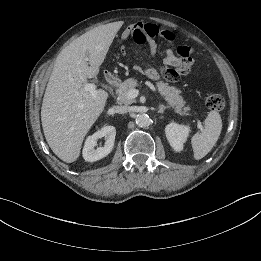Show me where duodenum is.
I'll list each match as a JSON object with an SVG mask.
<instances>
[{"mask_svg":"<svg viewBox=\"0 0 261 261\" xmlns=\"http://www.w3.org/2000/svg\"><path fill=\"white\" fill-rule=\"evenodd\" d=\"M105 80L110 86H115L118 83V78L110 72L105 74Z\"/></svg>","mask_w":261,"mask_h":261,"instance_id":"obj_1","label":"duodenum"}]
</instances>
